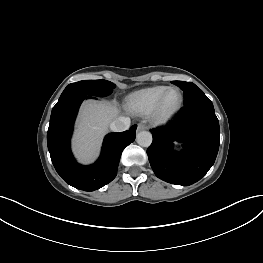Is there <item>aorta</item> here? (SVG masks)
Listing matches in <instances>:
<instances>
[{
    "instance_id": "762f6f07",
    "label": "aorta",
    "mask_w": 263,
    "mask_h": 263,
    "mask_svg": "<svg viewBox=\"0 0 263 263\" xmlns=\"http://www.w3.org/2000/svg\"><path fill=\"white\" fill-rule=\"evenodd\" d=\"M137 143L142 147H149L152 143V135L148 131H141L136 136Z\"/></svg>"
}]
</instances>
